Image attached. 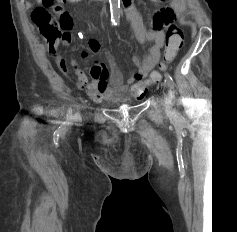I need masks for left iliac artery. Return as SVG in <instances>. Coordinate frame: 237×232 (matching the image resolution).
<instances>
[{
    "mask_svg": "<svg viewBox=\"0 0 237 232\" xmlns=\"http://www.w3.org/2000/svg\"><path fill=\"white\" fill-rule=\"evenodd\" d=\"M165 78H166V81L168 82L170 88H171L172 90H174L175 84H174V81H173L171 75H170L168 72L165 73Z\"/></svg>",
    "mask_w": 237,
    "mask_h": 232,
    "instance_id": "44dca946",
    "label": "left iliac artery"
}]
</instances>
